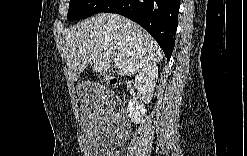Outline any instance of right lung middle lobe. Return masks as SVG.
I'll list each match as a JSON object with an SVG mask.
<instances>
[{"label": "right lung middle lobe", "instance_id": "1", "mask_svg": "<svg viewBox=\"0 0 247 156\" xmlns=\"http://www.w3.org/2000/svg\"><path fill=\"white\" fill-rule=\"evenodd\" d=\"M107 0H70L68 20L85 19L98 12Z\"/></svg>", "mask_w": 247, "mask_h": 156}]
</instances>
